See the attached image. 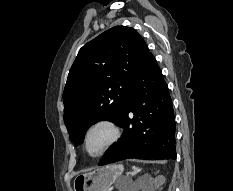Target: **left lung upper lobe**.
Masks as SVG:
<instances>
[{"label": "left lung upper lobe", "mask_w": 233, "mask_h": 191, "mask_svg": "<svg viewBox=\"0 0 233 191\" xmlns=\"http://www.w3.org/2000/svg\"><path fill=\"white\" fill-rule=\"evenodd\" d=\"M149 54L142 37L125 26L103 32L80 49L63 92L64 122L76 146L93 123L119 124L131 84Z\"/></svg>", "instance_id": "1"}]
</instances>
